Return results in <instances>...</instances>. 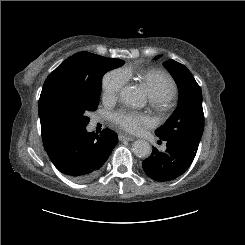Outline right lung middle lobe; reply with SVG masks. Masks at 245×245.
<instances>
[{
	"label": "right lung middle lobe",
	"mask_w": 245,
	"mask_h": 245,
	"mask_svg": "<svg viewBox=\"0 0 245 245\" xmlns=\"http://www.w3.org/2000/svg\"><path fill=\"white\" fill-rule=\"evenodd\" d=\"M82 64L89 74L87 83L55 78L43 85L38 111L41 125L52 135L61 137L87 126L88 113L98 107L102 76L124 61L86 52Z\"/></svg>",
	"instance_id": "1"
}]
</instances>
